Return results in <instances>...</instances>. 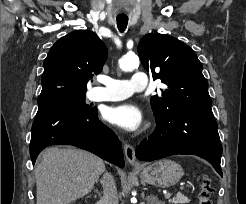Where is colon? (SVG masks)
I'll return each instance as SVG.
<instances>
[{
  "instance_id": "1",
  "label": "colon",
  "mask_w": 246,
  "mask_h": 204,
  "mask_svg": "<svg viewBox=\"0 0 246 204\" xmlns=\"http://www.w3.org/2000/svg\"><path fill=\"white\" fill-rule=\"evenodd\" d=\"M214 185L209 178H204L200 184L198 204H212L211 196L214 193Z\"/></svg>"
}]
</instances>
